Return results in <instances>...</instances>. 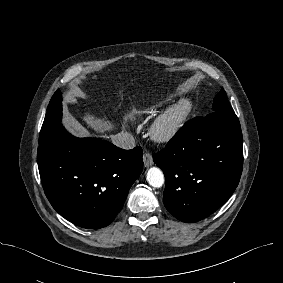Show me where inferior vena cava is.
<instances>
[{
	"mask_svg": "<svg viewBox=\"0 0 283 283\" xmlns=\"http://www.w3.org/2000/svg\"><path fill=\"white\" fill-rule=\"evenodd\" d=\"M111 141L122 149H132L135 147V139L129 132H120L112 135Z\"/></svg>",
	"mask_w": 283,
	"mask_h": 283,
	"instance_id": "obj_1",
	"label": "inferior vena cava"
}]
</instances>
